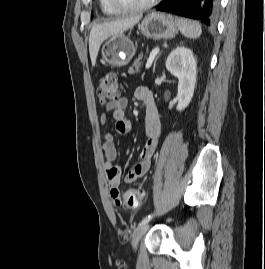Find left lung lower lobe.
I'll use <instances>...</instances> for the list:
<instances>
[{
	"label": "left lung lower lobe",
	"instance_id": "1",
	"mask_svg": "<svg viewBox=\"0 0 265 269\" xmlns=\"http://www.w3.org/2000/svg\"><path fill=\"white\" fill-rule=\"evenodd\" d=\"M219 1L167 0L157 10L199 20L206 25H211L219 13Z\"/></svg>",
	"mask_w": 265,
	"mask_h": 269
}]
</instances>
